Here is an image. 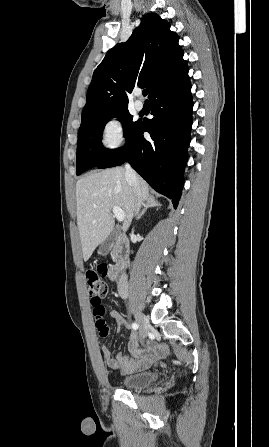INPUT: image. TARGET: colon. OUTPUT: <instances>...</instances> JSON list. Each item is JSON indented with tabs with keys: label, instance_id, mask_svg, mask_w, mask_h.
Instances as JSON below:
<instances>
[{
	"label": "colon",
	"instance_id": "colon-1",
	"mask_svg": "<svg viewBox=\"0 0 269 447\" xmlns=\"http://www.w3.org/2000/svg\"><path fill=\"white\" fill-rule=\"evenodd\" d=\"M99 267H107L106 262H96L95 266H88L85 273L86 286L88 294L90 295L89 301L92 303L93 311L98 314L103 313V308L101 307V300L99 298L104 297L108 293L107 283L100 278L98 275ZM98 314H93L92 316L98 317ZM95 330L98 331L97 336L99 339H106L108 333L106 331L105 322H96Z\"/></svg>",
	"mask_w": 269,
	"mask_h": 447
}]
</instances>
